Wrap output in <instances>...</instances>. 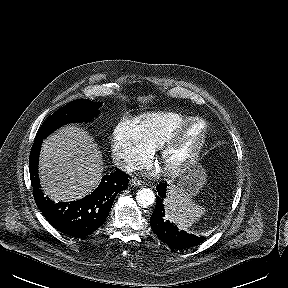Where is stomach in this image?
<instances>
[{"label":"stomach","mask_w":288,"mask_h":288,"mask_svg":"<svg viewBox=\"0 0 288 288\" xmlns=\"http://www.w3.org/2000/svg\"><path fill=\"white\" fill-rule=\"evenodd\" d=\"M207 174L201 165H197L183 174L178 182L172 185L177 194L186 195L189 198L196 196L207 181Z\"/></svg>","instance_id":"obj_1"}]
</instances>
